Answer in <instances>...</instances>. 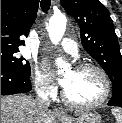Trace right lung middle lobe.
I'll list each match as a JSON object with an SVG mask.
<instances>
[{"instance_id": "1", "label": "right lung middle lobe", "mask_w": 122, "mask_h": 123, "mask_svg": "<svg viewBox=\"0 0 122 123\" xmlns=\"http://www.w3.org/2000/svg\"><path fill=\"white\" fill-rule=\"evenodd\" d=\"M19 50L1 49V65L15 69L23 74L30 75V64L24 63V58H19L16 53Z\"/></svg>"}]
</instances>
